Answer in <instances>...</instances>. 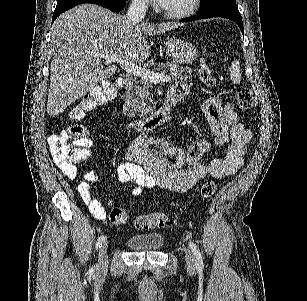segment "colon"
Masks as SVG:
<instances>
[{
  "mask_svg": "<svg viewBox=\"0 0 307 301\" xmlns=\"http://www.w3.org/2000/svg\"><path fill=\"white\" fill-rule=\"evenodd\" d=\"M200 78L207 86H212L215 79L212 76L209 66L203 63L200 69ZM120 88L118 83L103 82L91 92L82 97L69 112L72 120L82 119L87 112L101 104H105L116 96ZM237 104L243 110L251 109L255 105L253 92L248 87H242L237 93ZM87 132L83 125L74 123L64 128L59 133L53 134L48 139L51 154L60 162H67L70 165H77L90 156L86 145ZM216 185L212 181L205 182L201 187V195L209 198L214 195ZM111 223L115 225L126 224L129 220L128 213L122 208H113L109 215ZM172 223L171 217L166 213H150L139 215L134 226L139 230H150L164 228Z\"/></svg>",
  "mask_w": 307,
  "mask_h": 301,
  "instance_id": "colon-1",
  "label": "colon"
}]
</instances>
